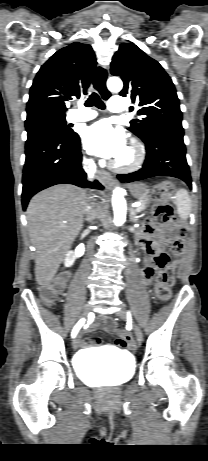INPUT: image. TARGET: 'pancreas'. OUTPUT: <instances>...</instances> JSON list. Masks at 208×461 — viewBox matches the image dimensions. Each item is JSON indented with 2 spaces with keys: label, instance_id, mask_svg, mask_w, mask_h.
<instances>
[{
  "label": "pancreas",
  "instance_id": "obj_1",
  "mask_svg": "<svg viewBox=\"0 0 208 461\" xmlns=\"http://www.w3.org/2000/svg\"><path fill=\"white\" fill-rule=\"evenodd\" d=\"M149 196H145L143 198H141V206L139 207L138 211H143L147 208L148 204H149Z\"/></svg>",
  "mask_w": 208,
  "mask_h": 461
}]
</instances>
